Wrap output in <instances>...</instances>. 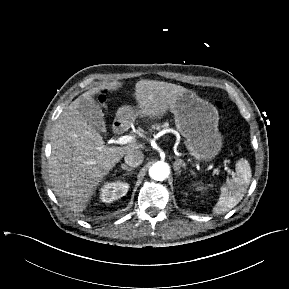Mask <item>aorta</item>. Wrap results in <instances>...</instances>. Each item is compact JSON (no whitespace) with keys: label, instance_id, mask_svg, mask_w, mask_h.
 <instances>
[{"label":"aorta","instance_id":"762f6f07","mask_svg":"<svg viewBox=\"0 0 289 289\" xmlns=\"http://www.w3.org/2000/svg\"><path fill=\"white\" fill-rule=\"evenodd\" d=\"M170 169L167 163L158 161L149 169V176L156 181H163L168 177Z\"/></svg>","mask_w":289,"mask_h":289}]
</instances>
